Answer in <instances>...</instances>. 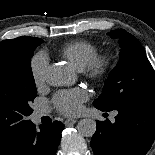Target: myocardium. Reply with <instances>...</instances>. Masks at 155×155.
Instances as JSON below:
<instances>
[{"instance_id": "f54148a6", "label": "myocardium", "mask_w": 155, "mask_h": 155, "mask_svg": "<svg viewBox=\"0 0 155 155\" xmlns=\"http://www.w3.org/2000/svg\"><path fill=\"white\" fill-rule=\"evenodd\" d=\"M112 67V58L109 53L96 54L82 69L87 78L99 82L104 80Z\"/></svg>"}]
</instances>
